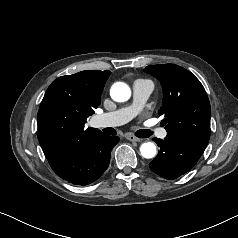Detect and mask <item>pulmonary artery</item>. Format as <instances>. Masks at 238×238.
Wrapping results in <instances>:
<instances>
[{
	"label": "pulmonary artery",
	"mask_w": 238,
	"mask_h": 238,
	"mask_svg": "<svg viewBox=\"0 0 238 238\" xmlns=\"http://www.w3.org/2000/svg\"><path fill=\"white\" fill-rule=\"evenodd\" d=\"M132 104L115 111L101 114L95 118L97 127H116L123 125L137 116L144 107L147 99L153 91V83L149 80L138 79L133 83ZM166 132L161 131V136L165 137Z\"/></svg>",
	"instance_id": "1"
}]
</instances>
